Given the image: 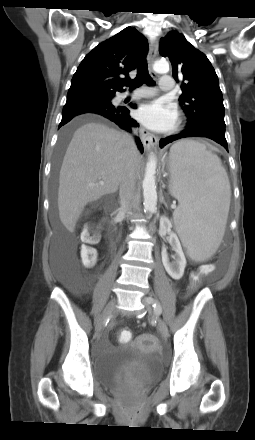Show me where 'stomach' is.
I'll use <instances>...</instances> for the list:
<instances>
[{
  "label": "stomach",
  "instance_id": "0dacf381",
  "mask_svg": "<svg viewBox=\"0 0 255 440\" xmlns=\"http://www.w3.org/2000/svg\"><path fill=\"white\" fill-rule=\"evenodd\" d=\"M169 167H170V170H171V167H172V165H171V159L169 160Z\"/></svg>",
  "mask_w": 255,
  "mask_h": 440
}]
</instances>
